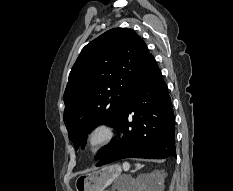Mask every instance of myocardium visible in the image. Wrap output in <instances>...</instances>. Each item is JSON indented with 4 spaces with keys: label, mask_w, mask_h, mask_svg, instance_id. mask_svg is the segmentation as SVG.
I'll list each match as a JSON object with an SVG mask.
<instances>
[{
    "label": "myocardium",
    "mask_w": 233,
    "mask_h": 191,
    "mask_svg": "<svg viewBox=\"0 0 233 191\" xmlns=\"http://www.w3.org/2000/svg\"><path fill=\"white\" fill-rule=\"evenodd\" d=\"M115 137L116 129L111 123H96L88 130L86 134V150L92 155H97L108 147Z\"/></svg>",
    "instance_id": "myocardium-1"
}]
</instances>
